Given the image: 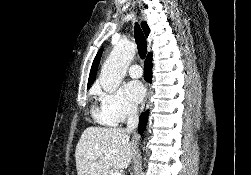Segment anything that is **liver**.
Returning <instances> with one entry per match:
<instances>
[{"label": "liver", "instance_id": "liver-1", "mask_svg": "<svg viewBox=\"0 0 251 175\" xmlns=\"http://www.w3.org/2000/svg\"><path fill=\"white\" fill-rule=\"evenodd\" d=\"M133 145L123 127H86L75 149L78 175H101L104 169L130 165Z\"/></svg>", "mask_w": 251, "mask_h": 175}]
</instances>
